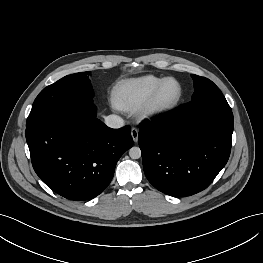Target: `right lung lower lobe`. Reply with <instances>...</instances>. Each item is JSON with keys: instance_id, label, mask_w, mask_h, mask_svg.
<instances>
[{"instance_id": "1", "label": "right lung lower lobe", "mask_w": 263, "mask_h": 263, "mask_svg": "<svg viewBox=\"0 0 263 263\" xmlns=\"http://www.w3.org/2000/svg\"><path fill=\"white\" fill-rule=\"evenodd\" d=\"M26 140L36 174L54 192L76 201L99 195L133 146L131 128H108L96 118L92 98L77 112L61 108L26 127Z\"/></svg>"}]
</instances>
